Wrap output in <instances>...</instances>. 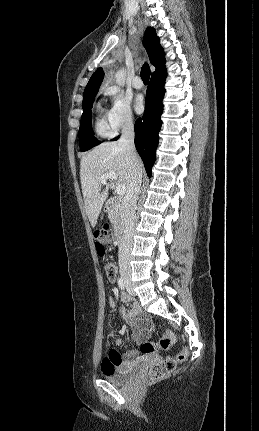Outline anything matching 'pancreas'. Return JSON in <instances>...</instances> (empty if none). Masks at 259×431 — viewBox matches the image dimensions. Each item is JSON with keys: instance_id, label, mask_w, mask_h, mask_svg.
I'll list each match as a JSON object with an SVG mask.
<instances>
[{"instance_id": "obj_1", "label": "pancreas", "mask_w": 259, "mask_h": 431, "mask_svg": "<svg viewBox=\"0 0 259 431\" xmlns=\"http://www.w3.org/2000/svg\"><path fill=\"white\" fill-rule=\"evenodd\" d=\"M108 218L114 227L115 233L117 234L123 222V209L120 203L115 202L112 204L108 210Z\"/></svg>"}]
</instances>
